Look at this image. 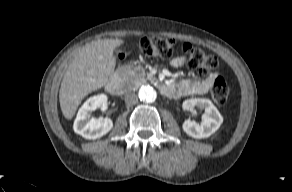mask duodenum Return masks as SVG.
<instances>
[{"label":"duodenum","mask_w":292,"mask_h":192,"mask_svg":"<svg viewBox=\"0 0 292 192\" xmlns=\"http://www.w3.org/2000/svg\"><path fill=\"white\" fill-rule=\"evenodd\" d=\"M106 88L108 92L114 95H117L121 92V79L118 73L113 75ZM161 90L164 93L167 90V85L162 86Z\"/></svg>","instance_id":"410a0bca"}]
</instances>
